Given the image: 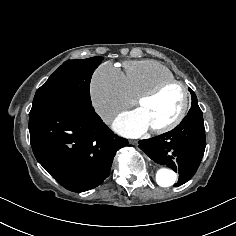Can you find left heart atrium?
<instances>
[{
	"mask_svg": "<svg viewBox=\"0 0 236 236\" xmlns=\"http://www.w3.org/2000/svg\"><path fill=\"white\" fill-rule=\"evenodd\" d=\"M113 128L123 136L139 137L149 129V126L141 109H135L118 116Z\"/></svg>",
	"mask_w": 236,
	"mask_h": 236,
	"instance_id": "left-heart-atrium-1",
	"label": "left heart atrium"
}]
</instances>
